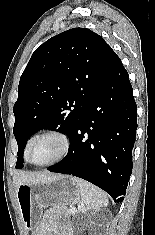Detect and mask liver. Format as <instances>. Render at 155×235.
Instances as JSON below:
<instances>
[{
  "mask_svg": "<svg viewBox=\"0 0 155 235\" xmlns=\"http://www.w3.org/2000/svg\"><path fill=\"white\" fill-rule=\"evenodd\" d=\"M57 175H51L46 172H23L18 171L13 177L15 190L22 184H35L40 182L49 181L57 178Z\"/></svg>",
  "mask_w": 155,
  "mask_h": 235,
  "instance_id": "liver-1",
  "label": "liver"
}]
</instances>
